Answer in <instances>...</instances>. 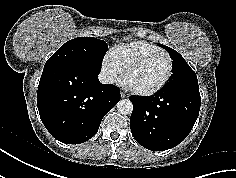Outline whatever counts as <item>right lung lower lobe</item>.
Masks as SVG:
<instances>
[{"label":"right lung lower lobe","mask_w":236,"mask_h":178,"mask_svg":"<svg viewBox=\"0 0 236 178\" xmlns=\"http://www.w3.org/2000/svg\"><path fill=\"white\" fill-rule=\"evenodd\" d=\"M99 72L84 62L45 64L37 106L44 126L58 141L80 144L89 140L120 100L116 86L99 82Z\"/></svg>","instance_id":"98d812e1"}]
</instances>
